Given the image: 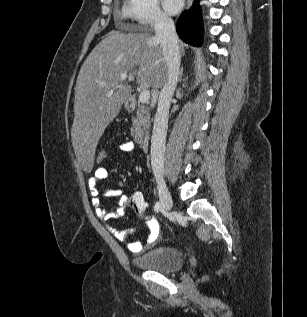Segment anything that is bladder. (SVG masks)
<instances>
[{
	"mask_svg": "<svg viewBox=\"0 0 307 317\" xmlns=\"http://www.w3.org/2000/svg\"><path fill=\"white\" fill-rule=\"evenodd\" d=\"M135 266L144 270L170 273L183 266V257L176 247H158L132 259Z\"/></svg>",
	"mask_w": 307,
	"mask_h": 317,
	"instance_id": "31cf9c89",
	"label": "bladder"
}]
</instances>
